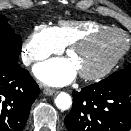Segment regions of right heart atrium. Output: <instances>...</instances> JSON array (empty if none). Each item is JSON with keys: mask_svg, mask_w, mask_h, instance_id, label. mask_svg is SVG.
Listing matches in <instances>:
<instances>
[{"mask_svg": "<svg viewBox=\"0 0 131 131\" xmlns=\"http://www.w3.org/2000/svg\"><path fill=\"white\" fill-rule=\"evenodd\" d=\"M62 50L63 46L56 38L53 29L46 25H40L31 32L25 41L22 58L26 64H32Z\"/></svg>", "mask_w": 131, "mask_h": 131, "instance_id": "1", "label": "right heart atrium"}]
</instances>
